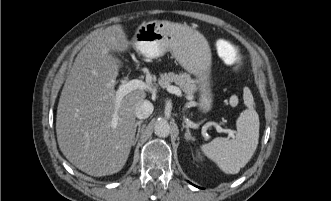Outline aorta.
I'll use <instances>...</instances> for the list:
<instances>
[{
	"instance_id": "aorta-1",
	"label": "aorta",
	"mask_w": 331,
	"mask_h": 201,
	"mask_svg": "<svg viewBox=\"0 0 331 201\" xmlns=\"http://www.w3.org/2000/svg\"><path fill=\"white\" fill-rule=\"evenodd\" d=\"M155 134L159 137H167L170 134L171 127L167 120L158 119L154 126Z\"/></svg>"
}]
</instances>
